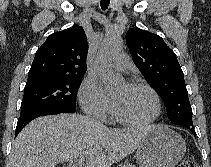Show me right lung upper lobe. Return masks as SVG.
I'll list each match as a JSON object with an SVG mask.
<instances>
[{"instance_id": "1", "label": "right lung upper lobe", "mask_w": 211, "mask_h": 167, "mask_svg": "<svg viewBox=\"0 0 211 167\" xmlns=\"http://www.w3.org/2000/svg\"><path fill=\"white\" fill-rule=\"evenodd\" d=\"M87 52L86 35L79 25L55 32L36 51L27 81L83 76Z\"/></svg>"}]
</instances>
